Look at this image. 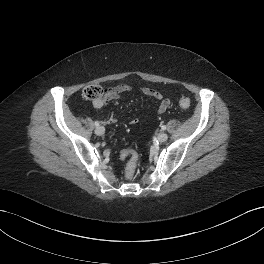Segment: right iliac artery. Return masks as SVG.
I'll list each match as a JSON object with an SVG mask.
<instances>
[{"instance_id":"82829eb1","label":"right iliac artery","mask_w":264,"mask_h":264,"mask_svg":"<svg viewBox=\"0 0 264 264\" xmlns=\"http://www.w3.org/2000/svg\"><path fill=\"white\" fill-rule=\"evenodd\" d=\"M94 124H95V126H99V122L98 121H96Z\"/></svg>"}]
</instances>
